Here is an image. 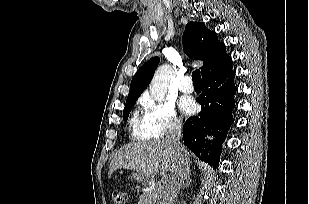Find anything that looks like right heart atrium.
<instances>
[{
	"label": "right heart atrium",
	"instance_id": "d8ad5b80",
	"mask_svg": "<svg viewBox=\"0 0 309 204\" xmlns=\"http://www.w3.org/2000/svg\"><path fill=\"white\" fill-rule=\"evenodd\" d=\"M144 122L143 138H163L179 131L182 121L171 101H157L150 96L142 99Z\"/></svg>",
	"mask_w": 309,
	"mask_h": 204
}]
</instances>
